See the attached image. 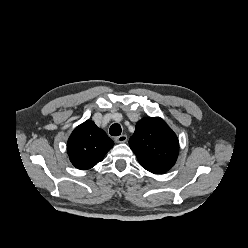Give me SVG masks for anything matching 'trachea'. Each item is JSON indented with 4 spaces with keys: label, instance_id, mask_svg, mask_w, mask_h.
I'll list each match as a JSON object with an SVG mask.
<instances>
[{
    "label": "trachea",
    "instance_id": "3493384b",
    "mask_svg": "<svg viewBox=\"0 0 248 248\" xmlns=\"http://www.w3.org/2000/svg\"><path fill=\"white\" fill-rule=\"evenodd\" d=\"M122 132L121 126L119 124L111 125L109 133L111 136H119Z\"/></svg>",
    "mask_w": 248,
    "mask_h": 248
}]
</instances>
